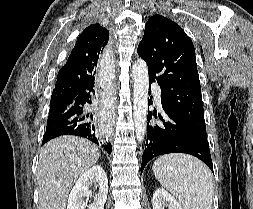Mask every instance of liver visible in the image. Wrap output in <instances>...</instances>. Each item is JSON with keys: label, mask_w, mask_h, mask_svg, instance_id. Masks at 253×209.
<instances>
[{"label": "liver", "mask_w": 253, "mask_h": 209, "mask_svg": "<svg viewBox=\"0 0 253 209\" xmlns=\"http://www.w3.org/2000/svg\"><path fill=\"white\" fill-rule=\"evenodd\" d=\"M98 147L77 136H60L41 149L37 169L39 209H66L76 180L99 159Z\"/></svg>", "instance_id": "obj_1"}]
</instances>
